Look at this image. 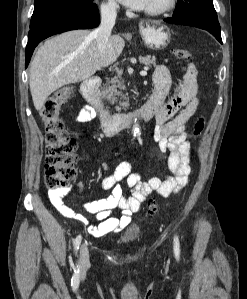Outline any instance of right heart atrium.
<instances>
[{"instance_id": "d8ad5b80", "label": "right heart atrium", "mask_w": 247, "mask_h": 299, "mask_svg": "<svg viewBox=\"0 0 247 299\" xmlns=\"http://www.w3.org/2000/svg\"><path fill=\"white\" fill-rule=\"evenodd\" d=\"M101 13L105 17H113L116 14L117 5L113 0H105L100 5Z\"/></svg>"}]
</instances>
